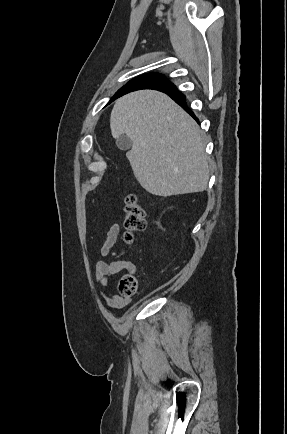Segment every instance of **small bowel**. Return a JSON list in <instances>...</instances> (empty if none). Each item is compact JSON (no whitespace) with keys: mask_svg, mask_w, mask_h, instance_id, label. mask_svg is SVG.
<instances>
[{"mask_svg":"<svg viewBox=\"0 0 287 434\" xmlns=\"http://www.w3.org/2000/svg\"><path fill=\"white\" fill-rule=\"evenodd\" d=\"M119 232L120 226L117 223H114L109 227L100 248L102 256L106 257L111 253L113 247L117 243ZM121 271L134 272L135 267L132 263L124 259L98 261L95 266L96 282L102 288L101 295L107 305L113 309H119L131 302L130 298L120 297L109 290L111 277Z\"/></svg>","mask_w":287,"mask_h":434,"instance_id":"small-bowel-1","label":"small bowel"}]
</instances>
